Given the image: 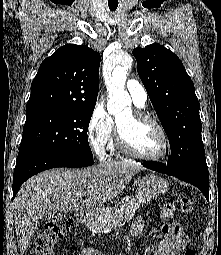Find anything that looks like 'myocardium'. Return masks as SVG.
<instances>
[{
    "mask_svg": "<svg viewBox=\"0 0 221 255\" xmlns=\"http://www.w3.org/2000/svg\"><path fill=\"white\" fill-rule=\"evenodd\" d=\"M133 119L140 123H150L153 126L157 128V130L160 132L162 140H163V150L159 155L156 156H146L141 153H139L131 144L128 137L121 131L119 126L116 127V142L118 144V147L122 152L125 154L132 156L134 158L147 161V162H159L164 160L170 151V142L168 135L166 133V130L164 127L160 124L158 120H156L153 116L150 114L140 111V110H133L132 111Z\"/></svg>",
    "mask_w": 221,
    "mask_h": 255,
    "instance_id": "1",
    "label": "myocardium"
}]
</instances>
